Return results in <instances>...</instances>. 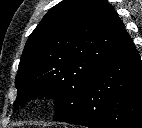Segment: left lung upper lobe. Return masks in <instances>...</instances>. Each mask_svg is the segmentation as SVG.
I'll list each match as a JSON object with an SVG mask.
<instances>
[{
  "mask_svg": "<svg viewBox=\"0 0 142 128\" xmlns=\"http://www.w3.org/2000/svg\"><path fill=\"white\" fill-rule=\"evenodd\" d=\"M131 41L106 0H64L29 36L20 59L14 107L38 97L56 101L55 120L69 116L89 80Z\"/></svg>",
  "mask_w": 142,
  "mask_h": 128,
  "instance_id": "1",
  "label": "left lung upper lobe"
}]
</instances>
